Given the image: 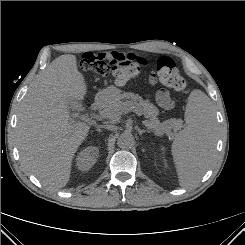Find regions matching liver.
<instances>
[{"label":"liver","mask_w":245,"mask_h":245,"mask_svg":"<svg viewBox=\"0 0 245 245\" xmlns=\"http://www.w3.org/2000/svg\"><path fill=\"white\" fill-rule=\"evenodd\" d=\"M87 85L76 56L61 55L39 76L21 103L16 141L22 165L43 186L67 185L74 155L90 126L70 117L67 100L82 101Z\"/></svg>","instance_id":"liver-1"}]
</instances>
